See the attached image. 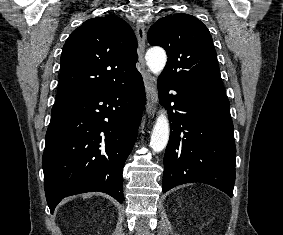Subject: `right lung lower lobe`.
I'll return each mask as SVG.
<instances>
[{
    "label": "right lung lower lobe",
    "instance_id": "1",
    "mask_svg": "<svg viewBox=\"0 0 283 235\" xmlns=\"http://www.w3.org/2000/svg\"><path fill=\"white\" fill-rule=\"evenodd\" d=\"M145 90L141 74L61 104L51 114L42 159L53 212L66 196L100 191L123 202L124 163L136 137Z\"/></svg>",
    "mask_w": 283,
    "mask_h": 235
}]
</instances>
